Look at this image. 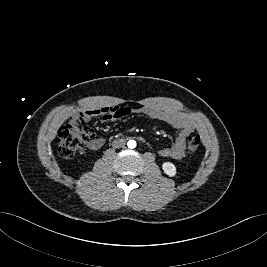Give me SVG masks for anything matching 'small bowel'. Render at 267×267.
I'll return each instance as SVG.
<instances>
[{
	"mask_svg": "<svg viewBox=\"0 0 267 267\" xmlns=\"http://www.w3.org/2000/svg\"><path fill=\"white\" fill-rule=\"evenodd\" d=\"M132 112L146 115L154 120L166 122L173 128L177 129L179 131V135L176 142L170 147L162 148L159 151V154L162 157H169L173 159H181L184 157L187 137L195 131L196 125L190 117L183 113L154 106H145L138 109L112 106L76 112L73 115V120H78L80 118L90 119L94 116L100 115L104 121H113L117 118L127 116ZM105 142V138H94L89 142L88 147L91 150H98L104 146Z\"/></svg>",
	"mask_w": 267,
	"mask_h": 267,
	"instance_id": "obj_1",
	"label": "small bowel"
}]
</instances>
